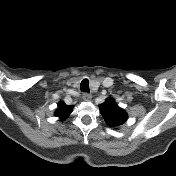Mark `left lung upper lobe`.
<instances>
[{
  "label": "left lung upper lobe",
  "mask_w": 176,
  "mask_h": 176,
  "mask_svg": "<svg viewBox=\"0 0 176 176\" xmlns=\"http://www.w3.org/2000/svg\"><path fill=\"white\" fill-rule=\"evenodd\" d=\"M99 108L106 123L110 127H118L127 120L126 112L115 104L113 98H107L103 104L99 105Z\"/></svg>",
  "instance_id": "obj_1"
}]
</instances>
